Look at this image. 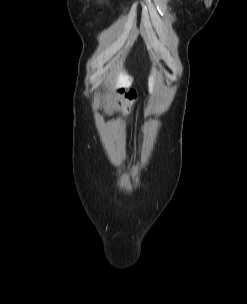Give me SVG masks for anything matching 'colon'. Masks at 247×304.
Wrapping results in <instances>:
<instances>
[{
    "label": "colon",
    "mask_w": 247,
    "mask_h": 304,
    "mask_svg": "<svg viewBox=\"0 0 247 304\" xmlns=\"http://www.w3.org/2000/svg\"><path fill=\"white\" fill-rule=\"evenodd\" d=\"M123 94V92H121ZM125 96H127L128 98V104L126 105L127 108H131L133 103H134V94L133 93H128L125 94Z\"/></svg>",
    "instance_id": "1"
}]
</instances>
